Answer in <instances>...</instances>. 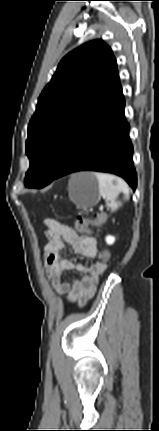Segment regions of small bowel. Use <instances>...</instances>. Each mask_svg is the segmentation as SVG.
Masks as SVG:
<instances>
[{
    "instance_id": "c3829d8e",
    "label": "small bowel",
    "mask_w": 159,
    "mask_h": 431,
    "mask_svg": "<svg viewBox=\"0 0 159 431\" xmlns=\"http://www.w3.org/2000/svg\"><path fill=\"white\" fill-rule=\"evenodd\" d=\"M48 242L45 245V264L56 293L67 294V302L85 303L95 292L100 275L106 273L107 261L98 259L90 267L75 263L70 259H62L60 251L65 242L69 243L75 255L86 258L99 256L96 240L91 236L80 235L72 227L53 219L45 221ZM75 270L82 273V277L72 281H64L67 271Z\"/></svg>"
}]
</instances>
